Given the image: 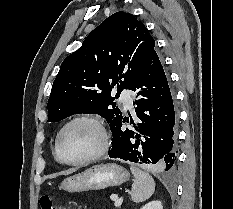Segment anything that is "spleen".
Instances as JSON below:
<instances>
[{
	"mask_svg": "<svg viewBox=\"0 0 233 209\" xmlns=\"http://www.w3.org/2000/svg\"><path fill=\"white\" fill-rule=\"evenodd\" d=\"M130 170L134 176L130 193L132 201L140 203L149 199L155 190V182L152 176L134 166H131Z\"/></svg>",
	"mask_w": 233,
	"mask_h": 209,
	"instance_id": "3e777b00",
	"label": "spleen"
}]
</instances>
